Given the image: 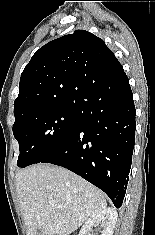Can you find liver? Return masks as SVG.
I'll return each mask as SVG.
<instances>
[{
  "instance_id": "1",
  "label": "liver",
  "mask_w": 155,
  "mask_h": 235,
  "mask_svg": "<svg viewBox=\"0 0 155 235\" xmlns=\"http://www.w3.org/2000/svg\"><path fill=\"white\" fill-rule=\"evenodd\" d=\"M15 185L28 235H69L107 208L100 190L65 168L27 167Z\"/></svg>"
}]
</instances>
